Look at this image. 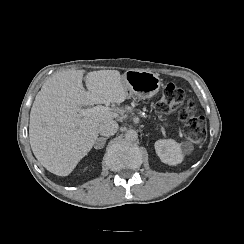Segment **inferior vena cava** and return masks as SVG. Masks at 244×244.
<instances>
[{
	"label": "inferior vena cava",
	"mask_w": 244,
	"mask_h": 244,
	"mask_svg": "<svg viewBox=\"0 0 244 244\" xmlns=\"http://www.w3.org/2000/svg\"><path fill=\"white\" fill-rule=\"evenodd\" d=\"M118 130V123L114 120H105L99 124L98 132L102 136L114 135Z\"/></svg>",
	"instance_id": "1"
}]
</instances>
